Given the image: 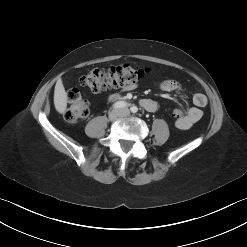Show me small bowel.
<instances>
[{
    "label": "small bowel",
    "mask_w": 247,
    "mask_h": 247,
    "mask_svg": "<svg viewBox=\"0 0 247 247\" xmlns=\"http://www.w3.org/2000/svg\"><path fill=\"white\" fill-rule=\"evenodd\" d=\"M135 87L134 84L125 87V90L129 91ZM158 87L163 92H172L179 90L181 85L175 80H164L158 84ZM111 98H115V95H112ZM192 102L194 106L189 108L185 115L176 120L175 124L178 129L187 130L201 119L203 115L202 108L207 105L206 96L202 93H196L193 95ZM140 103L144 109L150 112L156 111L159 107L158 103L151 99H142Z\"/></svg>",
    "instance_id": "obj_1"
}]
</instances>
